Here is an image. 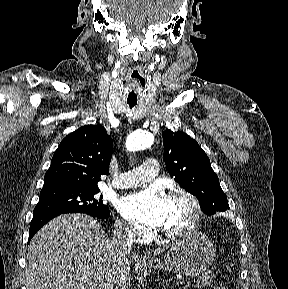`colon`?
<instances>
[{
	"label": "colon",
	"mask_w": 288,
	"mask_h": 289,
	"mask_svg": "<svg viewBox=\"0 0 288 289\" xmlns=\"http://www.w3.org/2000/svg\"><path fill=\"white\" fill-rule=\"evenodd\" d=\"M217 289H224L222 285H218Z\"/></svg>",
	"instance_id": "5ec220e1"
}]
</instances>
